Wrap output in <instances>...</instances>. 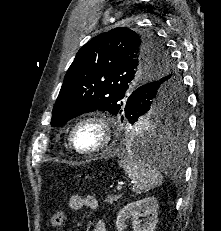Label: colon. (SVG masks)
I'll use <instances>...</instances> for the list:
<instances>
[{
    "label": "colon",
    "instance_id": "1",
    "mask_svg": "<svg viewBox=\"0 0 221 231\" xmlns=\"http://www.w3.org/2000/svg\"><path fill=\"white\" fill-rule=\"evenodd\" d=\"M65 223V211L61 207H57L50 219V224L53 227H62Z\"/></svg>",
    "mask_w": 221,
    "mask_h": 231
}]
</instances>
